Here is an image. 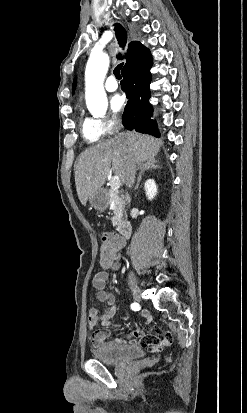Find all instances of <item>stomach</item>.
Instances as JSON below:
<instances>
[{"mask_svg": "<svg viewBox=\"0 0 247 413\" xmlns=\"http://www.w3.org/2000/svg\"><path fill=\"white\" fill-rule=\"evenodd\" d=\"M89 202L91 207H94L96 211H105L109 204V196L108 192H106L105 188H99V190H95L89 196Z\"/></svg>", "mask_w": 247, "mask_h": 413, "instance_id": "stomach-1", "label": "stomach"}]
</instances>
